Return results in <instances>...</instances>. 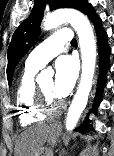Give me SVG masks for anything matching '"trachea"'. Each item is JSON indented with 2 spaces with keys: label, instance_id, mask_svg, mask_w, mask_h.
<instances>
[{
  "label": "trachea",
  "instance_id": "trachea-1",
  "mask_svg": "<svg viewBox=\"0 0 114 156\" xmlns=\"http://www.w3.org/2000/svg\"><path fill=\"white\" fill-rule=\"evenodd\" d=\"M71 43H72V44H76V43H77L76 39H73V40L71 41Z\"/></svg>",
  "mask_w": 114,
  "mask_h": 156
}]
</instances>
